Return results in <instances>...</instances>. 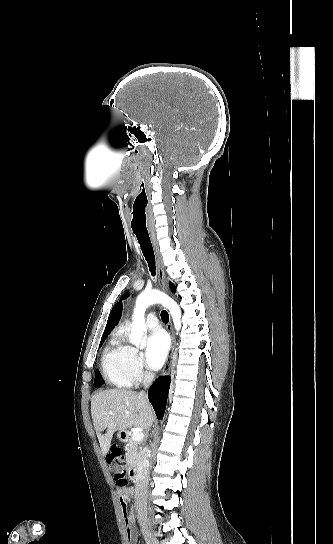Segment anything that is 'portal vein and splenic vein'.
<instances>
[{
    "label": "portal vein and splenic vein",
    "instance_id": "18ae733b",
    "mask_svg": "<svg viewBox=\"0 0 333 544\" xmlns=\"http://www.w3.org/2000/svg\"><path fill=\"white\" fill-rule=\"evenodd\" d=\"M143 437H144V434L140 430L134 431L132 433V439L135 440V441H141V440H143Z\"/></svg>",
    "mask_w": 333,
    "mask_h": 544
}]
</instances>
